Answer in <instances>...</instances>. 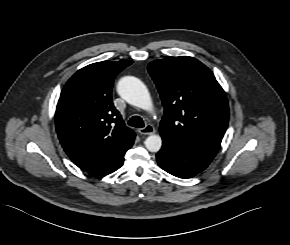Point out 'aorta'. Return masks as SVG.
<instances>
[{
  "mask_svg": "<svg viewBox=\"0 0 290 245\" xmlns=\"http://www.w3.org/2000/svg\"><path fill=\"white\" fill-rule=\"evenodd\" d=\"M119 95L129 104L146 111L153 110L150 93L145 84L136 77L126 76L117 84ZM145 146L150 152H158L162 146L160 135H150L145 140Z\"/></svg>",
  "mask_w": 290,
  "mask_h": 245,
  "instance_id": "aorta-1",
  "label": "aorta"
}]
</instances>
